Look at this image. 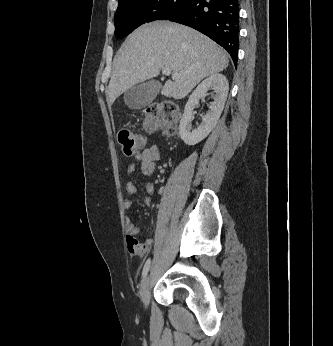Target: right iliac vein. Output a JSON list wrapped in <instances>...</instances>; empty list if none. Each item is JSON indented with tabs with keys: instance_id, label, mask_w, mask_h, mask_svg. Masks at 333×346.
<instances>
[{
	"instance_id": "obj_1",
	"label": "right iliac vein",
	"mask_w": 333,
	"mask_h": 346,
	"mask_svg": "<svg viewBox=\"0 0 333 346\" xmlns=\"http://www.w3.org/2000/svg\"><path fill=\"white\" fill-rule=\"evenodd\" d=\"M140 296L145 308L148 307L150 301V278L146 276L141 284Z\"/></svg>"
}]
</instances>
